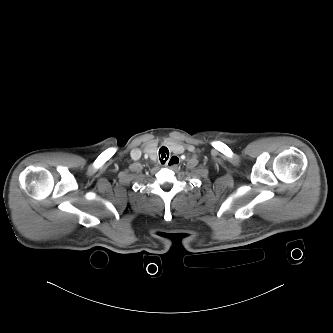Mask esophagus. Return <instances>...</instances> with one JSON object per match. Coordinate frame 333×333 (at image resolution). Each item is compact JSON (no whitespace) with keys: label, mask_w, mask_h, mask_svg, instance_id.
<instances>
[{"label":"esophagus","mask_w":333,"mask_h":333,"mask_svg":"<svg viewBox=\"0 0 333 333\" xmlns=\"http://www.w3.org/2000/svg\"><path fill=\"white\" fill-rule=\"evenodd\" d=\"M179 159L178 156L172 155L169 160L165 163V166L168 168H176L178 165Z\"/></svg>","instance_id":"esophagus-1"}]
</instances>
